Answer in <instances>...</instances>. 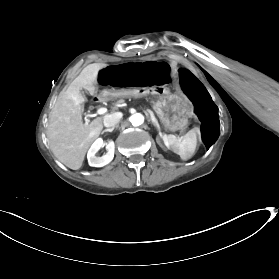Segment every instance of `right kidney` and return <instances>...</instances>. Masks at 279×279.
<instances>
[{"instance_id": "1", "label": "right kidney", "mask_w": 279, "mask_h": 279, "mask_svg": "<svg viewBox=\"0 0 279 279\" xmlns=\"http://www.w3.org/2000/svg\"><path fill=\"white\" fill-rule=\"evenodd\" d=\"M103 140L97 139L91 146L88 152V163L91 167H103L109 164L114 158L115 144L113 140L106 141L107 153L101 157H97L96 154L103 146Z\"/></svg>"}]
</instances>
